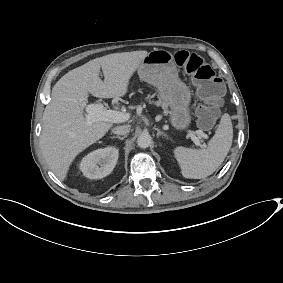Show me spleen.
<instances>
[{
  "instance_id": "obj_1",
  "label": "spleen",
  "mask_w": 283,
  "mask_h": 283,
  "mask_svg": "<svg viewBox=\"0 0 283 283\" xmlns=\"http://www.w3.org/2000/svg\"><path fill=\"white\" fill-rule=\"evenodd\" d=\"M233 138V127L228 113H223L215 134L207 148L198 151L185 147L173 149V156L185 178L200 179L212 174L224 161Z\"/></svg>"
}]
</instances>
